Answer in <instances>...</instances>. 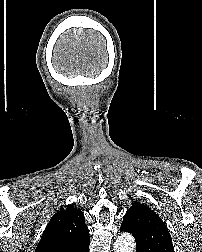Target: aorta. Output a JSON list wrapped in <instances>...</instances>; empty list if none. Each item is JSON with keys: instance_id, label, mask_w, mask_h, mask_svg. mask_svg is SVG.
Masks as SVG:
<instances>
[{"instance_id": "obj_1", "label": "aorta", "mask_w": 202, "mask_h": 252, "mask_svg": "<svg viewBox=\"0 0 202 252\" xmlns=\"http://www.w3.org/2000/svg\"><path fill=\"white\" fill-rule=\"evenodd\" d=\"M114 252H135V241L131 234L123 233L114 243Z\"/></svg>"}]
</instances>
